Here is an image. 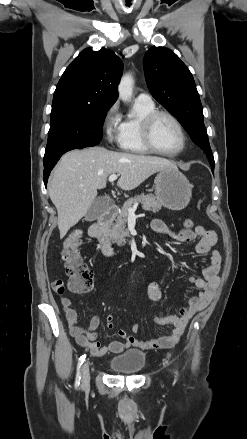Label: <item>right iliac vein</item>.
I'll return each instance as SVG.
<instances>
[{
    "label": "right iliac vein",
    "instance_id": "63e3f726",
    "mask_svg": "<svg viewBox=\"0 0 247 439\" xmlns=\"http://www.w3.org/2000/svg\"><path fill=\"white\" fill-rule=\"evenodd\" d=\"M90 381V372H89V364L85 363L82 368V386L85 387L89 384Z\"/></svg>",
    "mask_w": 247,
    "mask_h": 439
}]
</instances>
